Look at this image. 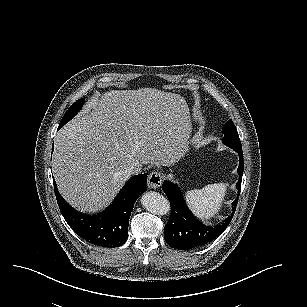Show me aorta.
Instances as JSON below:
<instances>
[{
  "label": "aorta",
  "instance_id": "1",
  "mask_svg": "<svg viewBox=\"0 0 307 307\" xmlns=\"http://www.w3.org/2000/svg\"><path fill=\"white\" fill-rule=\"evenodd\" d=\"M144 209L155 215H165L170 211V202L167 198L155 191L144 193L140 199Z\"/></svg>",
  "mask_w": 307,
  "mask_h": 307
}]
</instances>
